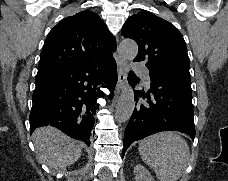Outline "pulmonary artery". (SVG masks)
Masks as SVG:
<instances>
[{
	"mask_svg": "<svg viewBox=\"0 0 228 181\" xmlns=\"http://www.w3.org/2000/svg\"><path fill=\"white\" fill-rule=\"evenodd\" d=\"M133 70L134 71H145L146 70V67L145 66H134L133 67ZM146 80V85H149V81H148V79L146 78L145 79Z\"/></svg>",
	"mask_w": 228,
	"mask_h": 181,
	"instance_id": "pulmonary-artery-1",
	"label": "pulmonary artery"
}]
</instances>
